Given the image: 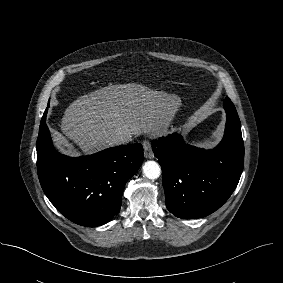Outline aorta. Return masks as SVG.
Segmentation results:
<instances>
[{
    "label": "aorta",
    "mask_w": 283,
    "mask_h": 283,
    "mask_svg": "<svg viewBox=\"0 0 283 283\" xmlns=\"http://www.w3.org/2000/svg\"><path fill=\"white\" fill-rule=\"evenodd\" d=\"M161 168L155 161H147L143 165V174L148 179H157L160 176Z\"/></svg>",
    "instance_id": "aorta-1"
}]
</instances>
